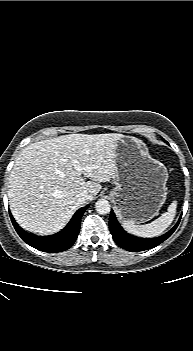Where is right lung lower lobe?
Listing matches in <instances>:
<instances>
[{
    "mask_svg": "<svg viewBox=\"0 0 193 351\" xmlns=\"http://www.w3.org/2000/svg\"><path fill=\"white\" fill-rule=\"evenodd\" d=\"M87 208L88 206L79 209L62 231L50 236L30 234L18 226L11 213L10 217L18 235L28 245L43 252L56 253L65 251L74 244L80 230L81 217Z\"/></svg>",
    "mask_w": 193,
    "mask_h": 351,
    "instance_id": "98d812e1",
    "label": "right lung lower lobe"
}]
</instances>
